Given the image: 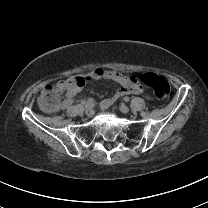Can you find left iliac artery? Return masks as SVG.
Wrapping results in <instances>:
<instances>
[{
	"label": "left iliac artery",
	"mask_w": 208,
	"mask_h": 208,
	"mask_svg": "<svg viewBox=\"0 0 208 208\" xmlns=\"http://www.w3.org/2000/svg\"><path fill=\"white\" fill-rule=\"evenodd\" d=\"M125 102H129V97H124V99H123Z\"/></svg>",
	"instance_id": "1"
}]
</instances>
